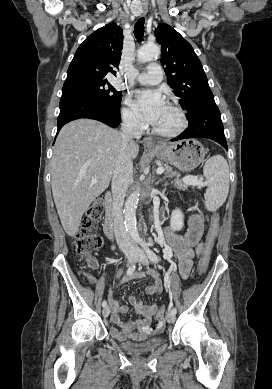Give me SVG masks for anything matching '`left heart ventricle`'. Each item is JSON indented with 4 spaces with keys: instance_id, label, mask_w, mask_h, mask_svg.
I'll return each mask as SVG.
<instances>
[{
    "instance_id": "1",
    "label": "left heart ventricle",
    "mask_w": 272,
    "mask_h": 389,
    "mask_svg": "<svg viewBox=\"0 0 272 389\" xmlns=\"http://www.w3.org/2000/svg\"><path fill=\"white\" fill-rule=\"evenodd\" d=\"M178 124V116L177 113L165 105L163 111L158 118L157 122L154 124V127L161 130H171Z\"/></svg>"
}]
</instances>
